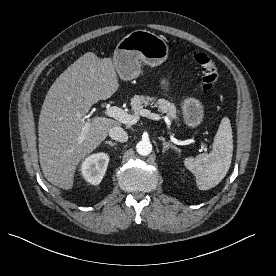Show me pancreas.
I'll use <instances>...</instances> for the list:
<instances>
[{"mask_svg": "<svg viewBox=\"0 0 276 276\" xmlns=\"http://www.w3.org/2000/svg\"><path fill=\"white\" fill-rule=\"evenodd\" d=\"M132 110L139 114L140 111L147 106L157 107L158 111L165 113L170 119H177V109L174 103H171L165 99L156 100L155 97L148 95H134L131 98Z\"/></svg>", "mask_w": 276, "mask_h": 276, "instance_id": "cf45deb5", "label": "pancreas"}]
</instances>
